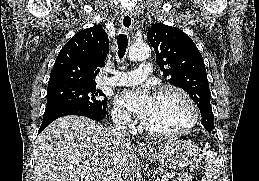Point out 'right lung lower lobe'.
Masks as SVG:
<instances>
[{
  "label": "right lung lower lobe",
  "mask_w": 259,
  "mask_h": 181,
  "mask_svg": "<svg viewBox=\"0 0 259 181\" xmlns=\"http://www.w3.org/2000/svg\"><path fill=\"white\" fill-rule=\"evenodd\" d=\"M67 115H78V116H85L93 120L101 121L105 118L106 109L104 110H94L86 107L81 106H69L57 109L56 111L43 116V122L40 126L38 134L43 131L51 122L55 119L60 118L62 116Z\"/></svg>",
  "instance_id": "1"
}]
</instances>
